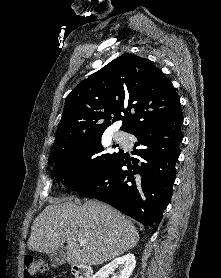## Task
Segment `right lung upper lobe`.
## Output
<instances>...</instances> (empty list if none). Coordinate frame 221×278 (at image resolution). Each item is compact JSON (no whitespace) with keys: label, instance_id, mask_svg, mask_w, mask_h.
<instances>
[{"label":"right lung upper lobe","instance_id":"1","mask_svg":"<svg viewBox=\"0 0 221 278\" xmlns=\"http://www.w3.org/2000/svg\"><path fill=\"white\" fill-rule=\"evenodd\" d=\"M180 99L169 79L148 59L123 54L78 84L67 96L51 150L102 135L123 121L130 133L176 117Z\"/></svg>","mask_w":221,"mask_h":278}]
</instances>
